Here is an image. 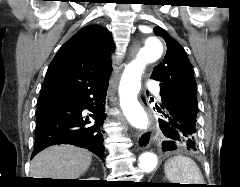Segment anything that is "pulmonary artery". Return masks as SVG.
Here are the masks:
<instances>
[{"label":"pulmonary artery","mask_w":240,"mask_h":187,"mask_svg":"<svg viewBox=\"0 0 240 187\" xmlns=\"http://www.w3.org/2000/svg\"><path fill=\"white\" fill-rule=\"evenodd\" d=\"M148 87H149V89H151L152 91L158 92L159 85H158L155 81H149Z\"/></svg>","instance_id":"e3ab8cb5"}]
</instances>
